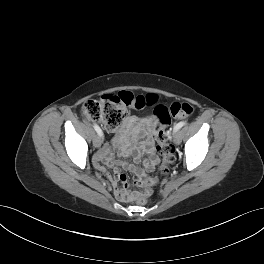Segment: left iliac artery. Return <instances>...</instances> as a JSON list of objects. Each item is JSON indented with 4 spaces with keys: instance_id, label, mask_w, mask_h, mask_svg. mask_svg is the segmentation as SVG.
<instances>
[{
    "instance_id": "left-iliac-artery-1",
    "label": "left iliac artery",
    "mask_w": 264,
    "mask_h": 264,
    "mask_svg": "<svg viewBox=\"0 0 264 264\" xmlns=\"http://www.w3.org/2000/svg\"><path fill=\"white\" fill-rule=\"evenodd\" d=\"M186 124V121L179 122L174 126V131L179 130L181 127H183Z\"/></svg>"
}]
</instances>
